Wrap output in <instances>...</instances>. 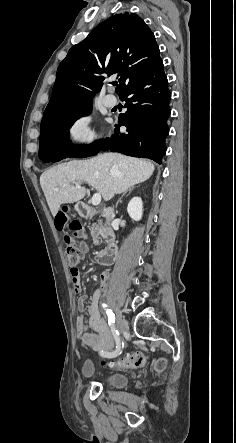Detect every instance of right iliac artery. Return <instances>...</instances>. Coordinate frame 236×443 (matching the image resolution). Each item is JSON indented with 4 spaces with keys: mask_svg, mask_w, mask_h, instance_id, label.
Instances as JSON below:
<instances>
[{
    "mask_svg": "<svg viewBox=\"0 0 236 443\" xmlns=\"http://www.w3.org/2000/svg\"><path fill=\"white\" fill-rule=\"evenodd\" d=\"M102 306L106 310V313L108 315V323L111 328V332L114 336V339L116 341V349L111 352H103L102 351L101 355L103 357L112 358V357H116L121 354L122 349H123V342H121L120 337H119V332L115 326V315L112 313L111 309L107 308L106 304H102Z\"/></svg>",
    "mask_w": 236,
    "mask_h": 443,
    "instance_id": "82829eb1",
    "label": "right iliac artery"
}]
</instances>
